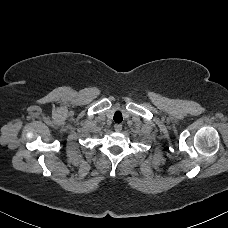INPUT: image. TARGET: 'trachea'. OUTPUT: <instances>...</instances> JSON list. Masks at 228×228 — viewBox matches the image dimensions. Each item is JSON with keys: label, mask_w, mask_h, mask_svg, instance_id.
Masks as SVG:
<instances>
[{"label": "trachea", "mask_w": 228, "mask_h": 228, "mask_svg": "<svg viewBox=\"0 0 228 228\" xmlns=\"http://www.w3.org/2000/svg\"><path fill=\"white\" fill-rule=\"evenodd\" d=\"M113 120L115 121V123H121L123 120L122 113L120 111L115 112Z\"/></svg>", "instance_id": "obj_1"}]
</instances>
